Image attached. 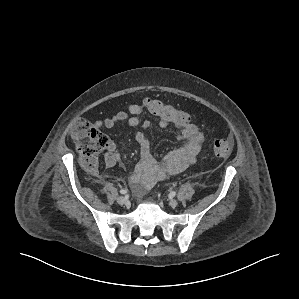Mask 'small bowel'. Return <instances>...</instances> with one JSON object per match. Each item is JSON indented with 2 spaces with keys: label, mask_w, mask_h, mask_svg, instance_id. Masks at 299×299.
<instances>
[{
  "label": "small bowel",
  "mask_w": 299,
  "mask_h": 299,
  "mask_svg": "<svg viewBox=\"0 0 299 299\" xmlns=\"http://www.w3.org/2000/svg\"><path fill=\"white\" fill-rule=\"evenodd\" d=\"M147 112L143 102L130 104L126 110L96 122L98 127L106 129L114 128L118 123L125 122L128 128L133 130L134 139L140 147V158L130 175L129 181L133 191L138 196L145 194L157 182L178 174L194 164L204 141L203 133L192 122L183 126H176L156 118L158 126L161 128L175 127L178 130V139L183 141L180 147L171 150L161 161H158L151 152L150 140L146 135V132L151 128V121L142 118ZM138 127H141L142 131L136 130ZM118 160L117 145L114 142H109L104 153L105 164L108 167H113Z\"/></svg>",
  "instance_id": "1"
}]
</instances>
